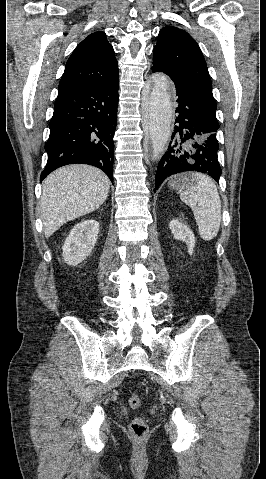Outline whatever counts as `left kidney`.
<instances>
[{
  "instance_id": "left-kidney-1",
  "label": "left kidney",
  "mask_w": 266,
  "mask_h": 479,
  "mask_svg": "<svg viewBox=\"0 0 266 479\" xmlns=\"http://www.w3.org/2000/svg\"><path fill=\"white\" fill-rule=\"evenodd\" d=\"M169 228L176 240L183 241L187 244L188 253L192 255L195 246V237L193 232L179 220H172L169 223Z\"/></svg>"
}]
</instances>
